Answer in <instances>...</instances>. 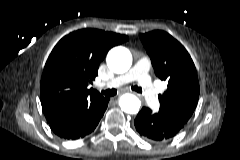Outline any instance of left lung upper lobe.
I'll list each match as a JSON object with an SVG mask.
<instances>
[{"instance_id": "5c2ea615", "label": "left lung upper lobe", "mask_w": 240, "mask_h": 160, "mask_svg": "<svg viewBox=\"0 0 240 160\" xmlns=\"http://www.w3.org/2000/svg\"><path fill=\"white\" fill-rule=\"evenodd\" d=\"M155 74L168 83L159 95L160 111L173 119L187 123L199 99V81L195 65L184 46L164 31L139 35Z\"/></svg>"}]
</instances>
